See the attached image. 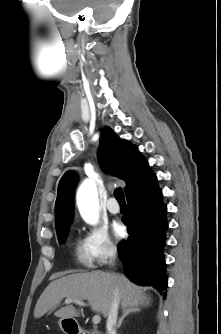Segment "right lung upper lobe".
Returning <instances> with one entry per match:
<instances>
[{
	"instance_id": "1",
	"label": "right lung upper lobe",
	"mask_w": 221,
	"mask_h": 334,
	"mask_svg": "<svg viewBox=\"0 0 221 334\" xmlns=\"http://www.w3.org/2000/svg\"><path fill=\"white\" fill-rule=\"evenodd\" d=\"M98 159L101 166L126 182V195L136 190L153 175L146 160L135 146L119 139L111 128L102 129ZM76 178L66 173L58 185L56 199V232L69 227L73 218V190Z\"/></svg>"
}]
</instances>
